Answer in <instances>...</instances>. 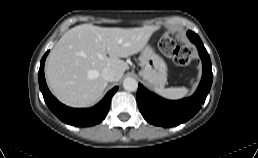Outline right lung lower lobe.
I'll return each instance as SVG.
<instances>
[{"mask_svg": "<svg viewBox=\"0 0 258 158\" xmlns=\"http://www.w3.org/2000/svg\"><path fill=\"white\" fill-rule=\"evenodd\" d=\"M49 51L45 53L38 73L39 87L48 108L63 122L73 125L88 127L100 123L107 115L110 107V100L117 91L114 87L96 106L88 109H74L61 104L49 91L44 77V62Z\"/></svg>", "mask_w": 258, "mask_h": 158, "instance_id": "1", "label": "right lung lower lobe"}]
</instances>
